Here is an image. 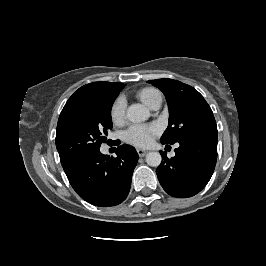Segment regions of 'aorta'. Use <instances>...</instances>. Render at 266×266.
I'll use <instances>...</instances> for the list:
<instances>
[{
	"mask_svg": "<svg viewBox=\"0 0 266 266\" xmlns=\"http://www.w3.org/2000/svg\"><path fill=\"white\" fill-rule=\"evenodd\" d=\"M127 118L133 123H140L148 119L150 116L149 110L142 104H132L127 109ZM162 161L159 152H149L146 155V162L149 166L157 167Z\"/></svg>",
	"mask_w": 266,
	"mask_h": 266,
	"instance_id": "762f6f07",
	"label": "aorta"
}]
</instances>
